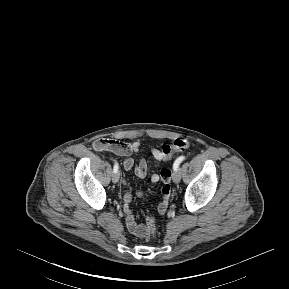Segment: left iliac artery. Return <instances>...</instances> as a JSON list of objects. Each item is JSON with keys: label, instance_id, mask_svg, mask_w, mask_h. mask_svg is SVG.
<instances>
[{"label": "left iliac artery", "instance_id": "left-iliac-artery-1", "mask_svg": "<svg viewBox=\"0 0 289 289\" xmlns=\"http://www.w3.org/2000/svg\"><path fill=\"white\" fill-rule=\"evenodd\" d=\"M184 159H185L184 156H180V157H178V158L175 160V162H174V164H173V169H174V171L178 170L179 165L181 164V162H182Z\"/></svg>", "mask_w": 289, "mask_h": 289}]
</instances>
